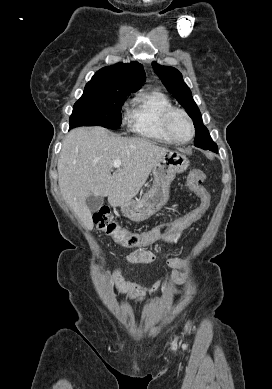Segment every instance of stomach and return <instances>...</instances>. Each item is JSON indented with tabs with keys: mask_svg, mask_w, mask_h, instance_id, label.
<instances>
[{
	"mask_svg": "<svg viewBox=\"0 0 272 389\" xmlns=\"http://www.w3.org/2000/svg\"><path fill=\"white\" fill-rule=\"evenodd\" d=\"M189 167L188 158L177 152H167L153 168L154 181L140 200H130L121 205V212L130 220L142 221L151 217L169 199V188L176 174Z\"/></svg>",
	"mask_w": 272,
	"mask_h": 389,
	"instance_id": "1",
	"label": "stomach"
}]
</instances>
